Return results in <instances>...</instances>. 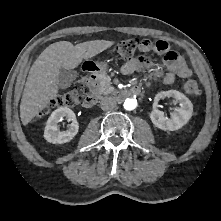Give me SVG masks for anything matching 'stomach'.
Masks as SVG:
<instances>
[{
    "mask_svg": "<svg viewBox=\"0 0 221 221\" xmlns=\"http://www.w3.org/2000/svg\"><path fill=\"white\" fill-rule=\"evenodd\" d=\"M99 68L103 69V68H104V66H103L102 64H99Z\"/></svg>",
    "mask_w": 221,
    "mask_h": 221,
    "instance_id": "1",
    "label": "stomach"
}]
</instances>
